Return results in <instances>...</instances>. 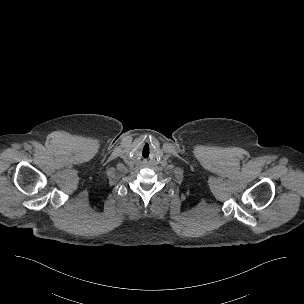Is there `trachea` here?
Masks as SVG:
<instances>
[{
  "mask_svg": "<svg viewBox=\"0 0 304 304\" xmlns=\"http://www.w3.org/2000/svg\"><path fill=\"white\" fill-rule=\"evenodd\" d=\"M139 154L142 159H145V160L149 159L152 154L150 146H148V145L141 146Z\"/></svg>",
  "mask_w": 304,
  "mask_h": 304,
  "instance_id": "obj_1",
  "label": "trachea"
}]
</instances>
